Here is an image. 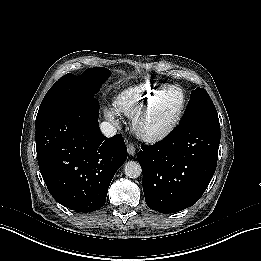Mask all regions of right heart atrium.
<instances>
[{"instance_id": "right-heart-atrium-1", "label": "right heart atrium", "mask_w": 261, "mask_h": 261, "mask_svg": "<svg viewBox=\"0 0 261 261\" xmlns=\"http://www.w3.org/2000/svg\"><path fill=\"white\" fill-rule=\"evenodd\" d=\"M114 113L105 111V116H106L107 120L109 122H111L112 124H118V120L116 119V116H115L116 113L115 114Z\"/></svg>"}]
</instances>
